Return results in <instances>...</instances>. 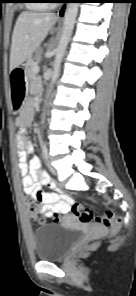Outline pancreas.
<instances>
[{
	"label": "pancreas",
	"instance_id": "obj_1",
	"mask_svg": "<svg viewBox=\"0 0 136 296\" xmlns=\"http://www.w3.org/2000/svg\"><path fill=\"white\" fill-rule=\"evenodd\" d=\"M41 55H42V50L39 49L36 51V54L34 57H31L30 59H28L26 63V73L28 77H33L35 75L34 67L37 65L36 61L41 58Z\"/></svg>",
	"mask_w": 136,
	"mask_h": 296
}]
</instances>
